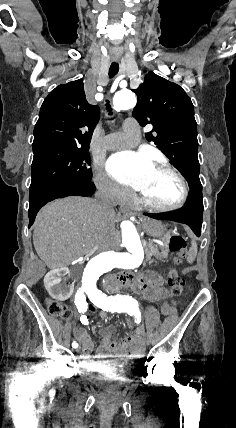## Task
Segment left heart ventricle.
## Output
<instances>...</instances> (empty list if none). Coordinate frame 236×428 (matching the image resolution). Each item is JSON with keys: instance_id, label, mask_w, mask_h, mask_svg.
I'll return each instance as SVG.
<instances>
[{"instance_id": "1", "label": "left heart ventricle", "mask_w": 236, "mask_h": 428, "mask_svg": "<svg viewBox=\"0 0 236 428\" xmlns=\"http://www.w3.org/2000/svg\"><path fill=\"white\" fill-rule=\"evenodd\" d=\"M140 192L150 201L167 206L178 201L181 186L172 174L165 170L153 169L144 179Z\"/></svg>"}]
</instances>
